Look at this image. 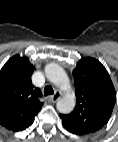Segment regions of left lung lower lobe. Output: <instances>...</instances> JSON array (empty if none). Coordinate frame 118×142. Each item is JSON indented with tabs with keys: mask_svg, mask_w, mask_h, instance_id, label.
I'll use <instances>...</instances> for the list:
<instances>
[{
	"mask_svg": "<svg viewBox=\"0 0 118 142\" xmlns=\"http://www.w3.org/2000/svg\"><path fill=\"white\" fill-rule=\"evenodd\" d=\"M64 127L71 133L73 134H76V135H84V133H82L81 131H79L76 127L70 125V124H67V123H64L62 122Z\"/></svg>",
	"mask_w": 118,
	"mask_h": 142,
	"instance_id": "0a47b994",
	"label": "left lung lower lobe"
}]
</instances>
